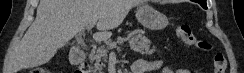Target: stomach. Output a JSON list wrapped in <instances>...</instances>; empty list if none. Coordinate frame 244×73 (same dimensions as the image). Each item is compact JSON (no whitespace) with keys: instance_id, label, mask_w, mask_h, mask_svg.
<instances>
[{"instance_id":"stomach-1","label":"stomach","mask_w":244,"mask_h":73,"mask_svg":"<svg viewBox=\"0 0 244 73\" xmlns=\"http://www.w3.org/2000/svg\"><path fill=\"white\" fill-rule=\"evenodd\" d=\"M136 18L144 27L150 30H162L169 24L166 15L147 4L138 7Z\"/></svg>"}]
</instances>
